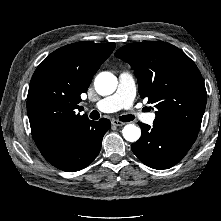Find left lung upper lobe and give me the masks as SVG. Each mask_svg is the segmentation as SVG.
Segmentation results:
<instances>
[{
    "label": "left lung upper lobe",
    "mask_w": 221,
    "mask_h": 221,
    "mask_svg": "<svg viewBox=\"0 0 221 221\" xmlns=\"http://www.w3.org/2000/svg\"><path fill=\"white\" fill-rule=\"evenodd\" d=\"M115 56L131 65L141 98L157 108L155 120L199 132L207 93L200 71L182 50L153 41L125 45Z\"/></svg>",
    "instance_id": "obj_1"
}]
</instances>
